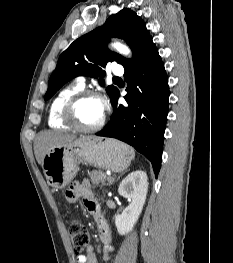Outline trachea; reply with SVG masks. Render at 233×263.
Returning a JSON list of instances; mask_svg holds the SVG:
<instances>
[{"label":"trachea","instance_id":"3493384b","mask_svg":"<svg viewBox=\"0 0 233 263\" xmlns=\"http://www.w3.org/2000/svg\"><path fill=\"white\" fill-rule=\"evenodd\" d=\"M113 81H121V78H119V77H114V78H113Z\"/></svg>","mask_w":233,"mask_h":263}]
</instances>
